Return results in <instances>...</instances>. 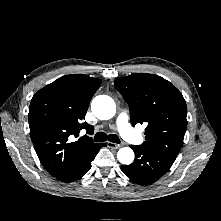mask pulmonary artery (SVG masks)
I'll use <instances>...</instances> for the list:
<instances>
[{
    "mask_svg": "<svg viewBox=\"0 0 221 221\" xmlns=\"http://www.w3.org/2000/svg\"><path fill=\"white\" fill-rule=\"evenodd\" d=\"M115 126L121 136L133 144H140L142 138L137 135L129 124V115L126 112H121L115 122Z\"/></svg>",
    "mask_w": 221,
    "mask_h": 221,
    "instance_id": "pulmonary-artery-1",
    "label": "pulmonary artery"
}]
</instances>
